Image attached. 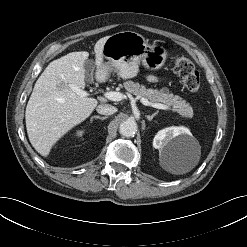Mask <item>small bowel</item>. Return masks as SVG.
Listing matches in <instances>:
<instances>
[{"label": "small bowel", "instance_id": "obj_1", "mask_svg": "<svg viewBox=\"0 0 247 247\" xmlns=\"http://www.w3.org/2000/svg\"><path fill=\"white\" fill-rule=\"evenodd\" d=\"M155 79H156V78H155L154 76H149V77H148V80H149V81H154Z\"/></svg>", "mask_w": 247, "mask_h": 247}]
</instances>
